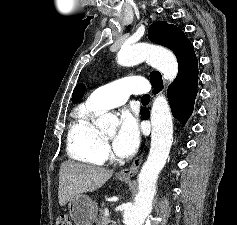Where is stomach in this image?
<instances>
[{
  "mask_svg": "<svg viewBox=\"0 0 237 225\" xmlns=\"http://www.w3.org/2000/svg\"><path fill=\"white\" fill-rule=\"evenodd\" d=\"M68 210L75 225H91L96 218L98 207L89 196L80 194L68 202Z\"/></svg>",
  "mask_w": 237,
  "mask_h": 225,
  "instance_id": "1",
  "label": "stomach"
}]
</instances>
